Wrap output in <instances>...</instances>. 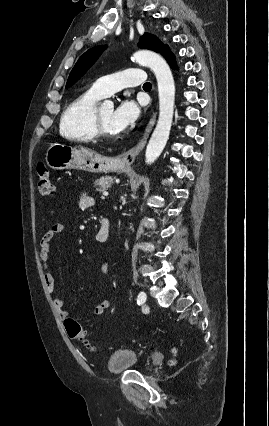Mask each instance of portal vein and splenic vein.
Segmentation results:
<instances>
[{"label":"portal vein and splenic vein","instance_id":"portal-vein-and-splenic-vein-1","mask_svg":"<svg viewBox=\"0 0 269 426\" xmlns=\"http://www.w3.org/2000/svg\"><path fill=\"white\" fill-rule=\"evenodd\" d=\"M103 196H108V192H103Z\"/></svg>","mask_w":269,"mask_h":426}]
</instances>
